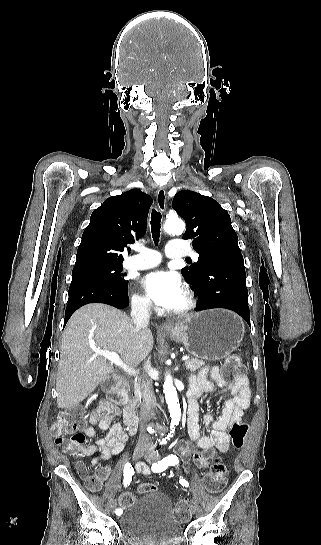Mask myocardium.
<instances>
[{
    "label": "myocardium",
    "instance_id": "f54148a6",
    "mask_svg": "<svg viewBox=\"0 0 321 545\" xmlns=\"http://www.w3.org/2000/svg\"><path fill=\"white\" fill-rule=\"evenodd\" d=\"M184 295L186 298V304L184 307L174 310V314L176 315H188L192 311H194L197 307V299L194 294V292L189 288H184Z\"/></svg>",
    "mask_w": 321,
    "mask_h": 545
}]
</instances>
